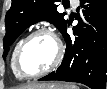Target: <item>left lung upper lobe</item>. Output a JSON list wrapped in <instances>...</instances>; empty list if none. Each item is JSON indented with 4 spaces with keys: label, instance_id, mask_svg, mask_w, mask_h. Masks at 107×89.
I'll return each mask as SVG.
<instances>
[{
    "label": "left lung upper lobe",
    "instance_id": "obj_1",
    "mask_svg": "<svg viewBox=\"0 0 107 89\" xmlns=\"http://www.w3.org/2000/svg\"><path fill=\"white\" fill-rule=\"evenodd\" d=\"M59 0H12V5L5 17L6 35L4 37L5 59L9 46L32 24L46 20L54 24L62 33L68 21L65 13L57 12Z\"/></svg>",
    "mask_w": 107,
    "mask_h": 89
}]
</instances>
